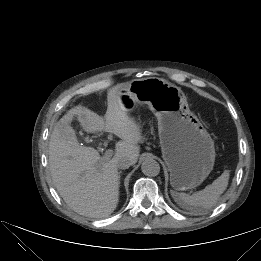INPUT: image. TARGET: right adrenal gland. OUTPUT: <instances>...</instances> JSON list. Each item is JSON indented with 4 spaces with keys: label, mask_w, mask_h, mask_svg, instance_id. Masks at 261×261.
Returning a JSON list of instances; mask_svg holds the SVG:
<instances>
[{
    "label": "right adrenal gland",
    "mask_w": 261,
    "mask_h": 261,
    "mask_svg": "<svg viewBox=\"0 0 261 261\" xmlns=\"http://www.w3.org/2000/svg\"><path fill=\"white\" fill-rule=\"evenodd\" d=\"M121 171L118 173V177H119V183H120V177H121Z\"/></svg>",
    "instance_id": "right-adrenal-gland-1"
}]
</instances>
